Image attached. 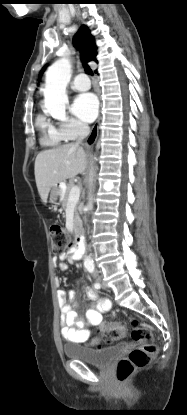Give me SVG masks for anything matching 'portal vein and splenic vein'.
<instances>
[{"label":"portal vein and splenic vein","instance_id":"portal-vein-and-splenic-vein-1","mask_svg":"<svg viewBox=\"0 0 187 415\" xmlns=\"http://www.w3.org/2000/svg\"><path fill=\"white\" fill-rule=\"evenodd\" d=\"M80 197V187L79 186H73L71 189L70 195H69V204L73 203L76 204Z\"/></svg>","mask_w":187,"mask_h":415}]
</instances>
